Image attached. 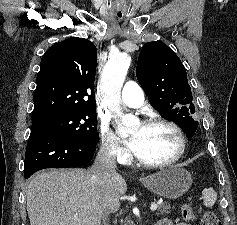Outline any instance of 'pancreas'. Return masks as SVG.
Listing matches in <instances>:
<instances>
[{"mask_svg": "<svg viewBox=\"0 0 237 225\" xmlns=\"http://www.w3.org/2000/svg\"><path fill=\"white\" fill-rule=\"evenodd\" d=\"M170 204L169 203H166V202H163V203H160L158 205V211H159V214L160 215H163V214H169L170 213ZM128 222H125L124 225H127ZM129 224V223H128Z\"/></svg>", "mask_w": 237, "mask_h": 225, "instance_id": "1", "label": "pancreas"}]
</instances>
